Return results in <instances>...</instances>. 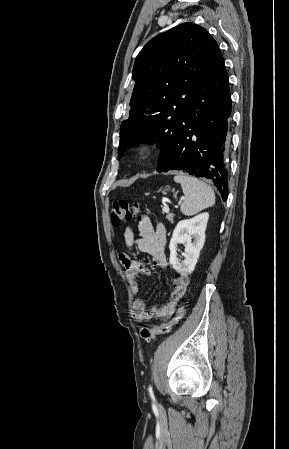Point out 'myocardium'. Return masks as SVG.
Here are the masks:
<instances>
[{
  "label": "myocardium",
  "instance_id": "1",
  "mask_svg": "<svg viewBox=\"0 0 289 449\" xmlns=\"http://www.w3.org/2000/svg\"><path fill=\"white\" fill-rule=\"evenodd\" d=\"M134 153L137 159L143 160L150 155L151 148L147 143H140L136 146Z\"/></svg>",
  "mask_w": 289,
  "mask_h": 449
}]
</instances>
